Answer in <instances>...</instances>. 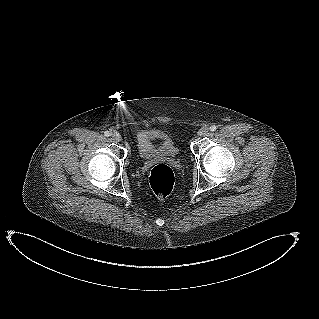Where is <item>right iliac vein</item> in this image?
I'll return each mask as SVG.
<instances>
[{"label": "right iliac vein", "mask_w": 319, "mask_h": 319, "mask_svg": "<svg viewBox=\"0 0 319 319\" xmlns=\"http://www.w3.org/2000/svg\"><path fill=\"white\" fill-rule=\"evenodd\" d=\"M112 139L114 140V141H117V142H119V141H121V135L119 134V133H117V132H114L113 134H112Z\"/></svg>", "instance_id": "right-iliac-vein-1"}]
</instances>
